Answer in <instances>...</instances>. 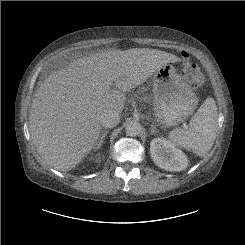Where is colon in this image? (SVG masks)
I'll list each match as a JSON object with an SVG mask.
<instances>
[{"instance_id":"obj_1","label":"colon","mask_w":245,"mask_h":245,"mask_svg":"<svg viewBox=\"0 0 245 245\" xmlns=\"http://www.w3.org/2000/svg\"><path fill=\"white\" fill-rule=\"evenodd\" d=\"M181 76L193 91L200 90L204 85V76L199 66L187 52L182 54Z\"/></svg>"}]
</instances>
